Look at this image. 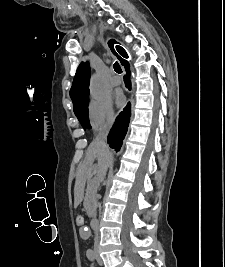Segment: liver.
I'll return each mask as SVG.
<instances>
[{"label": "liver", "instance_id": "6515ba94", "mask_svg": "<svg viewBox=\"0 0 225 267\" xmlns=\"http://www.w3.org/2000/svg\"><path fill=\"white\" fill-rule=\"evenodd\" d=\"M97 158L98 164L94 167L93 162ZM112 159L111 153L107 154L102 148L93 141L87 151L84 161L78 166L76 183L74 188V206L77 207L83 200L85 181L92 172H97V177L102 175L104 169L107 170ZM98 180V179H97Z\"/></svg>", "mask_w": 225, "mask_h": 267}]
</instances>
